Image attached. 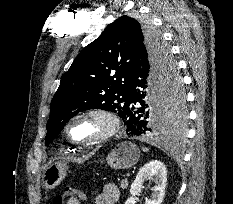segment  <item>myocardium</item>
<instances>
[{
  "instance_id": "myocardium-1",
  "label": "myocardium",
  "mask_w": 233,
  "mask_h": 204,
  "mask_svg": "<svg viewBox=\"0 0 233 204\" xmlns=\"http://www.w3.org/2000/svg\"><path fill=\"white\" fill-rule=\"evenodd\" d=\"M99 119L105 123V129L96 137L88 140H75L70 134L71 126L81 119ZM121 122L119 117L112 111L104 108H90L74 114L65 124L64 133L67 139L79 145H95L102 143L113 137L120 129Z\"/></svg>"
}]
</instances>
